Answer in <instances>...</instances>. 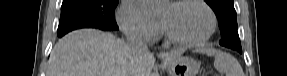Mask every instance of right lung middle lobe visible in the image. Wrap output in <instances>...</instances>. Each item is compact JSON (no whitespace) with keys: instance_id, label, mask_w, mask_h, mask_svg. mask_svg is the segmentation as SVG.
Segmentation results:
<instances>
[{"instance_id":"right-lung-middle-lobe-1","label":"right lung middle lobe","mask_w":287,"mask_h":76,"mask_svg":"<svg viewBox=\"0 0 287 76\" xmlns=\"http://www.w3.org/2000/svg\"><path fill=\"white\" fill-rule=\"evenodd\" d=\"M118 0H63L59 37L79 28L118 30L114 9Z\"/></svg>"}]
</instances>
